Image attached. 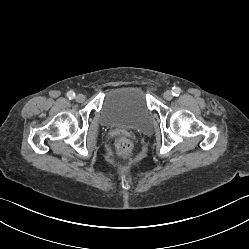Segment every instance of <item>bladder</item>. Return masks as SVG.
Segmentation results:
<instances>
[{"label":"bladder","instance_id":"31cf9c89","mask_svg":"<svg viewBox=\"0 0 249 249\" xmlns=\"http://www.w3.org/2000/svg\"><path fill=\"white\" fill-rule=\"evenodd\" d=\"M152 113L143 91L133 85L109 89L100 108V123L105 127L148 131Z\"/></svg>","mask_w":249,"mask_h":249}]
</instances>
